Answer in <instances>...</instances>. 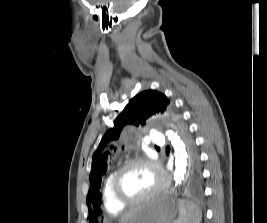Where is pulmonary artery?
I'll return each instance as SVG.
<instances>
[{"mask_svg":"<svg viewBox=\"0 0 267 223\" xmlns=\"http://www.w3.org/2000/svg\"><path fill=\"white\" fill-rule=\"evenodd\" d=\"M150 139L157 146H162L163 145V140L160 137L156 136V135H152L150 137Z\"/></svg>","mask_w":267,"mask_h":223,"instance_id":"e3ab8cb5","label":"pulmonary artery"}]
</instances>
